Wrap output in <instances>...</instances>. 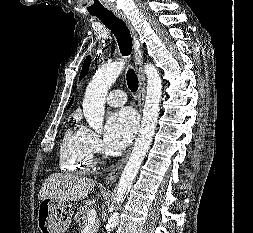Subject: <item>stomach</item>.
<instances>
[{
	"mask_svg": "<svg viewBox=\"0 0 253 233\" xmlns=\"http://www.w3.org/2000/svg\"><path fill=\"white\" fill-rule=\"evenodd\" d=\"M69 201L46 198L40 202L37 223L41 233H64L72 218Z\"/></svg>",
	"mask_w": 253,
	"mask_h": 233,
	"instance_id": "0dacf381",
	"label": "stomach"
}]
</instances>
